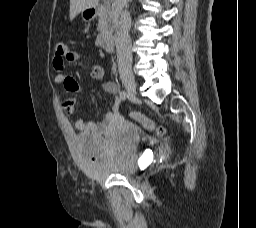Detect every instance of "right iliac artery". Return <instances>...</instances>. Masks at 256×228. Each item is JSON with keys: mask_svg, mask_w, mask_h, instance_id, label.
I'll return each instance as SVG.
<instances>
[{"mask_svg": "<svg viewBox=\"0 0 256 228\" xmlns=\"http://www.w3.org/2000/svg\"><path fill=\"white\" fill-rule=\"evenodd\" d=\"M127 97H128V94H127L125 91H121V92H120V98H121L122 100H125Z\"/></svg>", "mask_w": 256, "mask_h": 228, "instance_id": "82829eb1", "label": "right iliac artery"}]
</instances>
